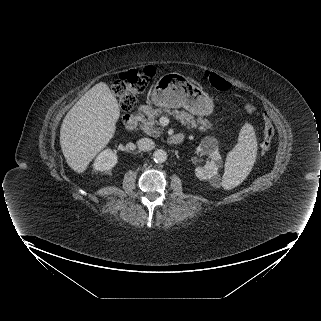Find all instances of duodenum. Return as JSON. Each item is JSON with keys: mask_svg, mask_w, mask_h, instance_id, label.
Masks as SVG:
<instances>
[{"mask_svg": "<svg viewBox=\"0 0 321 321\" xmlns=\"http://www.w3.org/2000/svg\"><path fill=\"white\" fill-rule=\"evenodd\" d=\"M141 109H142V107H139L134 112L124 116V126L126 129L132 130L136 127V125L138 123V116H139ZM182 140H183V136H181V135H175L169 139L170 143L173 145L179 144Z\"/></svg>", "mask_w": 321, "mask_h": 321, "instance_id": "obj_1", "label": "duodenum"}]
</instances>
